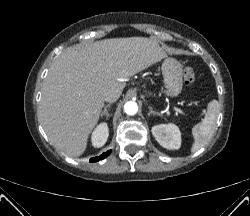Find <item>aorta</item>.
Instances as JSON below:
<instances>
[{"instance_id": "1", "label": "aorta", "mask_w": 250, "mask_h": 216, "mask_svg": "<svg viewBox=\"0 0 250 216\" xmlns=\"http://www.w3.org/2000/svg\"><path fill=\"white\" fill-rule=\"evenodd\" d=\"M124 111L128 115H135L138 111V105L137 103L133 101H128L124 105Z\"/></svg>"}]
</instances>
